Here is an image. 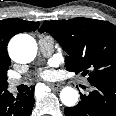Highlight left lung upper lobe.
Here are the masks:
<instances>
[{"instance_id": "obj_1", "label": "left lung upper lobe", "mask_w": 116, "mask_h": 116, "mask_svg": "<svg viewBox=\"0 0 116 116\" xmlns=\"http://www.w3.org/2000/svg\"><path fill=\"white\" fill-rule=\"evenodd\" d=\"M67 52L68 71L88 75L90 84L116 81V26L102 20L74 18L42 24Z\"/></svg>"}]
</instances>
